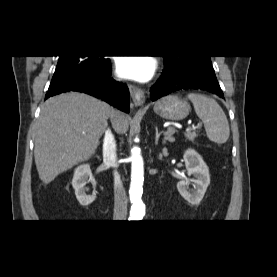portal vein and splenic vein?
<instances>
[{
  "instance_id": "18ae733b",
  "label": "portal vein and splenic vein",
  "mask_w": 277,
  "mask_h": 277,
  "mask_svg": "<svg viewBox=\"0 0 277 277\" xmlns=\"http://www.w3.org/2000/svg\"><path fill=\"white\" fill-rule=\"evenodd\" d=\"M191 130H192L191 127H188V128L186 129L187 132H189V131H191Z\"/></svg>"
}]
</instances>
